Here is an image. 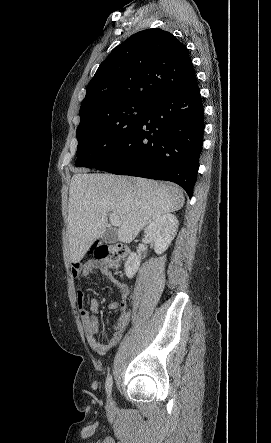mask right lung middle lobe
<instances>
[{
	"instance_id": "dd1d6c3e",
	"label": "right lung middle lobe",
	"mask_w": 271,
	"mask_h": 443,
	"mask_svg": "<svg viewBox=\"0 0 271 443\" xmlns=\"http://www.w3.org/2000/svg\"><path fill=\"white\" fill-rule=\"evenodd\" d=\"M148 106L124 102L80 121L76 166L97 168L106 162L140 123Z\"/></svg>"
}]
</instances>
